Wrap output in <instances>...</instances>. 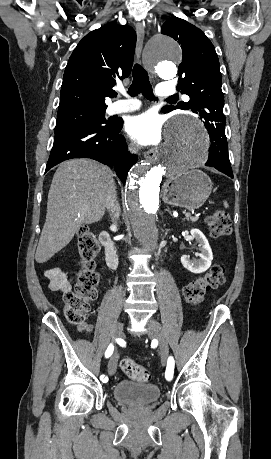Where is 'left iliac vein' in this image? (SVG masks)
<instances>
[{
    "label": "left iliac vein",
    "instance_id": "left-iliac-vein-1",
    "mask_svg": "<svg viewBox=\"0 0 271 459\" xmlns=\"http://www.w3.org/2000/svg\"><path fill=\"white\" fill-rule=\"evenodd\" d=\"M148 335L151 337H156L159 342V351L161 356V361L163 364H166L169 357V344L166 338L165 332L161 324L153 319L150 318L148 322Z\"/></svg>",
    "mask_w": 271,
    "mask_h": 459
}]
</instances>
